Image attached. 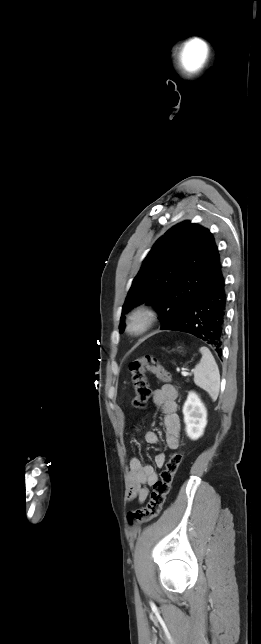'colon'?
<instances>
[{
  "mask_svg": "<svg viewBox=\"0 0 261 644\" xmlns=\"http://www.w3.org/2000/svg\"><path fill=\"white\" fill-rule=\"evenodd\" d=\"M129 369L132 375L135 396L133 406L143 408L151 396V388L147 381V372L155 374L161 381L170 382L171 373L161 364L159 359L153 355H147L130 363ZM183 457L181 450L171 454L160 473V478L153 484L150 500L144 509L128 513L130 524H141L157 518L170 493L174 477L178 471Z\"/></svg>",
  "mask_w": 261,
  "mask_h": 644,
  "instance_id": "5ec220e1",
  "label": "colon"
}]
</instances>
